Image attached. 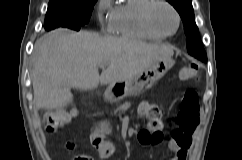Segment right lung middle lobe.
I'll return each instance as SVG.
<instances>
[{"instance_id": "dd1d6c3e", "label": "right lung middle lobe", "mask_w": 242, "mask_h": 160, "mask_svg": "<svg viewBox=\"0 0 242 160\" xmlns=\"http://www.w3.org/2000/svg\"><path fill=\"white\" fill-rule=\"evenodd\" d=\"M97 0H50L45 16L44 29L58 27L79 30L90 18Z\"/></svg>"}]
</instances>
